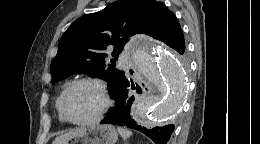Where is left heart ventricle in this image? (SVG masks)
I'll list each match as a JSON object with an SVG mask.
<instances>
[{
    "label": "left heart ventricle",
    "mask_w": 260,
    "mask_h": 144,
    "mask_svg": "<svg viewBox=\"0 0 260 144\" xmlns=\"http://www.w3.org/2000/svg\"><path fill=\"white\" fill-rule=\"evenodd\" d=\"M102 105L98 90L90 84L79 85L70 95L67 112L71 119L83 121L94 117Z\"/></svg>",
    "instance_id": "1"
}]
</instances>
